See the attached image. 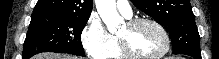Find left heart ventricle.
<instances>
[{
	"label": "left heart ventricle",
	"mask_w": 219,
	"mask_h": 59,
	"mask_svg": "<svg viewBox=\"0 0 219 59\" xmlns=\"http://www.w3.org/2000/svg\"><path fill=\"white\" fill-rule=\"evenodd\" d=\"M118 37L125 40L129 48L140 56H152L164 47L163 36L151 24H141L136 27L126 24L118 33Z\"/></svg>",
	"instance_id": "1"
}]
</instances>
